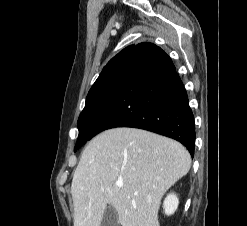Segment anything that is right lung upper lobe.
<instances>
[{"label": "right lung upper lobe", "instance_id": "1", "mask_svg": "<svg viewBox=\"0 0 247 226\" xmlns=\"http://www.w3.org/2000/svg\"><path fill=\"white\" fill-rule=\"evenodd\" d=\"M135 45H131L126 47L125 49H123L121 52H119L114 58H112L108 64L103 68L100 76L112 65L114 64L116 61H118L119 59L123 58V57H129L131 51L134 49ZM99 76V77H100Z\"/></svg>", "mask_w": 247, "mask_h": 226}]
</instances>
